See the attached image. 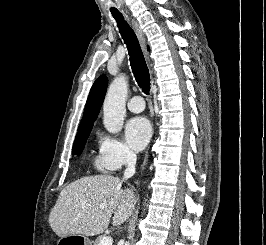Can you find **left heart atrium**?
<instances>
[{
  "mask_svg": "<svg viewBox=\"0 0 266 245\" xmlns=\"http://www.w3.org/2000/svg\"><path fill=\"white\" fill-rule=\"evenodd\" d=\"M151 136L149 122L143 117H136L129 120L125 126V138L130 147L134 150H142L148 143Z\"/></svg>",
  "mask_w": 266,
  "mask_h": 245,
  "instance_id": "1",
  "label": "left heart atrium"
}]
</instances>
